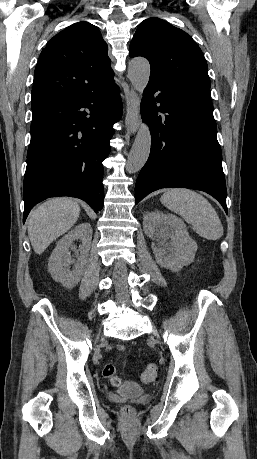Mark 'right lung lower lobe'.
<instances>
[{"mask_svg": "<svg viewBox=\"0 0 257 459\" xmlns=\"http://www.w3.org/2000/svg\"><path fill=\"white\" fill-rule=\"evenodd\" d=\"M118 86L32 110L31 141L23 182V222L48 197L84 200L103 208L102 161L110 152L113 124L121 117Z\"/></svg>", "mask_w": 257, "mask_h": 459, "instance_id": "1", "label": "right lung lower lobe"}]
</instances>
